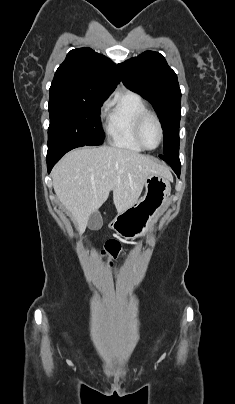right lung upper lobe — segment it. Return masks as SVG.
Returning <instances> with one entry per match:
<instances>
[{
  "label": "right lung upper lobe",
  "mask_w": 235,
  "mask_h": 404,
  "mask_svg": "<svg viewBox=\"0 0 235 404\" xmlns=\"http://www.w3.org/2000/svg\"><path fill=\"white\" fill-rule=\"evenodd\" d=\"M120 78L110 59L84 47L71 50L57 69L50 90L106 99Z\"/></svg>",
  "instance_id": "cb5924a9"
}]
</instances>
